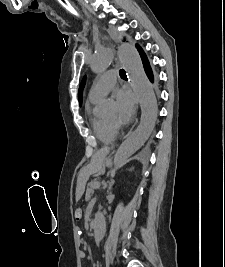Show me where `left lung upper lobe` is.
Masks as SVG:
<instances>
[{"mask_svg": "<svg viewBox=\"0 0 225 267\" xmlns=\"http://www.w3.org/2000/svg\"><path fill=\"white\" fill-rule=\"evenodd\" d=\"M85 82H86V79L84 77L81 84H80V88H79V104H80V106L82 105V98H83L82 91H83V88L85 86Z\"/></svg>", "mask_w": 225, "mask_h": 267, "instance_id": "obj_1", "label": "left lung upper lobe"}]
</instances>
